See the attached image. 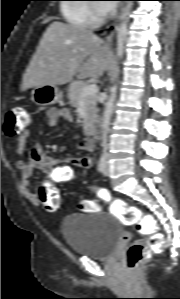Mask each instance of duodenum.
Here are the masks:
<instances>
[{"instance_id":"duodenum-1","label":"duodenum","mask_w":180,"mask_h":299,"mask_svg":"<svg viewBox=\"0 0 180 299\" xmlns=\"http://www.w3.org/2000/svg\"><path fill=\"white\" fill-rule=\"evenodd\" d=\"M84 130L88 135H92L94 133V124L89 121L85 122Z\"/></svg>"}]
</instances>
